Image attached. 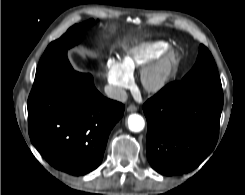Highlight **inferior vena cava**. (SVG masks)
Segmentation results:
<instances>
[{
    "mask_svg": "<svg viewBox=\"0 0 245 195\" xmlns=\"http://www.w3.org/2000/svg\"><path fill=\"white\" fill-rule=\"evenodd\" d=\"M104 91L106 95L114 100L120 101V102H126L128 95L126 91L122 88L114 87L111 85H106L104 87Z\"/></svg>",
    "mask_w": 245,
    "mask_h": 195,
    "instance_id": "1",
    "label": "inferior vena cava"
}]
</instances>
